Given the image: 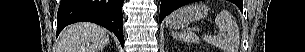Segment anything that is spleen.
Instances as JSON below:
<instances>
[{
	"label": "spleen",
	"instance_id": "1",
	"mask_svg": "<svg viewBox=\"0 0 305 52\" xmlns=\"http://www.w3.org/2000/svg\"><path fill=\"white\" fill-rule=\"evenodd\" d=\"M215 24L219 29L218 35H204V41L218 47L224 52H232V44L229 41V33L233 26L231 14L227 11H221L215 18ZM172 36L182 42L197 43L199 41V37L191 31L172 33Z\"/></svg>",
	"mask_w": 305,
	"mask_h": 52
}]
</instances>
